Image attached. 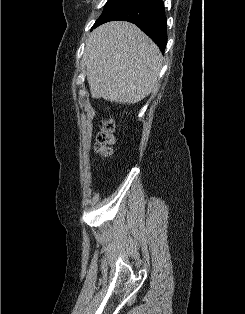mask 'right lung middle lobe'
Instances as JSON below:
<instances>
[{
	"label": "right lung middle lobe",
	"instance_id": "obj_1",
	"mask_svg": "<svg viewBox=\"0 0 245 314\" xmlns=\"http://www.w3.org/2000/svg\"><path fill=\"white\" fill-rule=\"evenodd\" d=\"M126 1L128 0H108L105 5L103 13L97 19L93 27H95L97 24L103 21L112 11H114L116 8L124 4Z\"/></svg>",
	"mask_w": 245,
	"mask_h": 314
}]
</instances>
